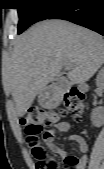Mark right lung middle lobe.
<instances>
[{
	"instance_id": "1",
	"label": "right lung middle lobe",
	"mask_w": 104,
	"mask_h": 169,
	"mask_svg": "<svg viewBox=\"0 0 104 169\" xmlns=\"http://www.w3.org/2000/svg\"><path fill=\"white\" fill-rule=\"evenodd\" d=\"M18 6V34L35 22L48 19L74 0H15Z\"/></svg>"
}]
</instances>
